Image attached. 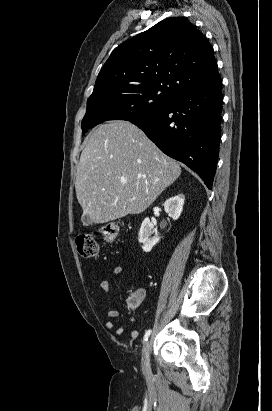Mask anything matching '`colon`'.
<instances>
[{
  "label": "colon",
  "instance_id": "1",
  "mask_svg": "<svg viewBox=\"0 0 272 411\" xmlns=\"http://www.w3.org/2000/svg\"><path fill=\"white\" fill-rule=\"evenodd\" d=\"M120 227L117 224H108L101 228L100 233L104 240L112 242L117 237ZM77 250L80 256L85 258L95 257L98 254V243L93 235L82 234L76 237ZM142 297L140 293H134L130 297V305L136 308L140 305Z\"/></svg>",
  "mask_w": 272,
  "mask_h": 411
}]
</instances>
